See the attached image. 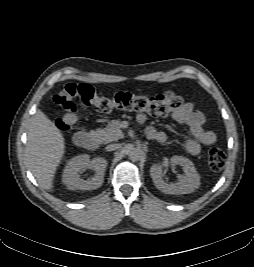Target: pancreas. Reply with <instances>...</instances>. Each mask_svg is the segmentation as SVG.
<instances>
[{
    "mask_svg": "<svg viewBox=\"0 0 254 267\" xmlns=\"http://www.w3.org/2000/svg\"><path fill=\"white\" fill-rule=\"evenodd\" d=\"M93 136L100 143H108L111 141H116L122 137V131L120 129V121L112 120L108 123L107 127L104 129H97L92 132Z\"/></svg>",
    "mask_w": 254,
    "mask_h": 267,
    "instance_id": "pancreas-1",
    "label": "pancreas"
}]
</instances>
